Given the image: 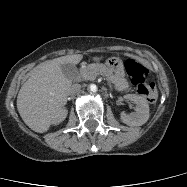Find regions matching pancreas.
<instances>
[{
  "label": "pancreas",
  "instance_id": "obj_1",
  "mask_svg": "<svg viewBox=\"0 0 187 187\" xmlns=\"http://www.w3.org/2000/svg\"><path fill=\"white\" fill-rule=\"evenodd\" d=\"M98 75L106 77L108 80L114 82V78L110 71L104 65L92 64L82 68L79 72V78L82 80H95Z\"/></svg>",
  "mask_w": 187,
  "mask_h": 187
}]
</instances>
